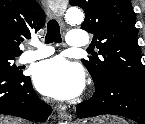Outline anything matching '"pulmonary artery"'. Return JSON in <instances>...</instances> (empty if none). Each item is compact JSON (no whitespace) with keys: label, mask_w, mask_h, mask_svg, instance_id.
Here are the masks:
<instances>
[{"label":"pulmonary artery","mask_w":145,"mask_h":124,"mask_svg":"<svg viewBox=\"0 0 145 124\" xmlns=\"http://www.w3.org/2000/svg\"><path fill=\"white\" fill-rule=\"evenodd\" d=\"M69 47L86 48L88 46L89 38L88 33L81 29H71L68 36ZM34 50L25 51L19 61L21 63H30L42 58H45L53 53V49L47 45L41 44L37 41L33 42Z\"/></svg>","instance_id":"e3ab8cb5"}]
</instances>
